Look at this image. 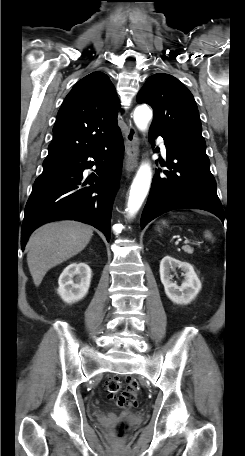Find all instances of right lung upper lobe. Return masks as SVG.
<instances>
[{"label":"right lung upper lobe","mask_w":245,"mask_h":456,"mask_svg":"<svg viewBox=\"0 0 245 456\" xmlns=\"http://www.w3.org/2000/svg\"><path fill=\"white\" fill-rule=\"evenodd\" d=\"M118 107L106 74L93 72L77 82L57 114L43 169L61 166L119 132Z\"/></svg>","instance_id":"right-lung-upper-lobe-1"}]
</instances>
